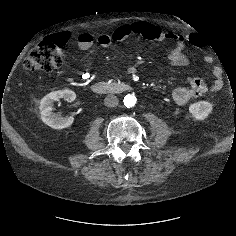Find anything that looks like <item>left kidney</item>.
<instances>
[{
	"label": "left kidney",
	"instance_id": "5707ae66",
	"mask_svg": "<svg viewBox=\"0 0 236 236\" xmlns=\"http://www.w3.org/2000/svg\"><path fill=\"white\" fill-rule=\"evenodd\" d=\"M212 109V104L207 101H199L189 106V112L196 120H204Z\"/></svg>",
	"mask_w": 236,
	"mask_h": 236
}]
</instances>
